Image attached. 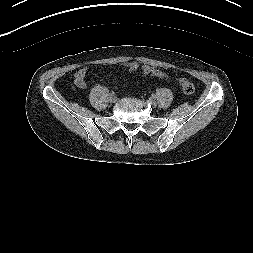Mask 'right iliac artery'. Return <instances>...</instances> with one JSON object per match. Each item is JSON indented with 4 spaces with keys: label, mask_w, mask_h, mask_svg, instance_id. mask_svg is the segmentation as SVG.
I'll use <instances>...</instances> for the list:
<instances>
[{
    "label": "right iliac artery",
    "mask_w": 253,
    "mask_h": 253,
    "mask_svg": "<svg viewBox=\"0 0 253 253\" xmlns=\"http://www.w3.org/2000/svg\"><path fill=\"white\" fill-rule=\"evenodd\" d=\"M109 95H110V96H113V95H115V92H114V91H111V92L109 93Z\"/></svg>",
    "instance_id": "right-iliac-artery-1"
}]
</instances>
